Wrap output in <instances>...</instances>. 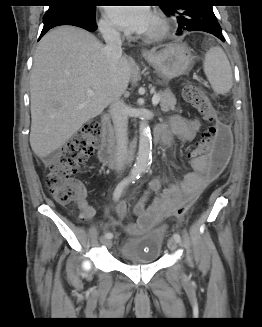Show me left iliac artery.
Returning <instances> with one entry per match:
<instances>
[{
  "mask_svg": "<svg viewBox=\"0 0 262 327\" xmlns=\"http://www.w3.org/2000/svg\"><path fill=\"white\" fill-rule=\"evenodd\" d=\"M173 238L176 240L177 243L181 242V236L178 233H174Z\"/></svg>",
  "mask_w": 262,
  "mask_h": 327,
  "instance_id": "1",
  "label": "left iliac artery"
}]
</instances>
